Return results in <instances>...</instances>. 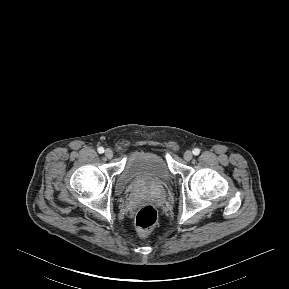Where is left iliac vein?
I'll return each mask as SVG.
<instances>
[{
    "label": "left iliac vein",
    "mask_w": 289,
    "mask_h": 289,
    "mask_svg": "<svg viewBox=\"0 0 289 289\" xmlns=\"http://www.w3.org/2000/svg\"><path fill=\"white\" fill-rule=\"evenodd\" d=\"M193 158V154H192V152L191 151H186L185 153H184V159L186 160V161H190L191 159Z\"/></svg>",
    "instance_id": "obj_1"
}]
</instances>
